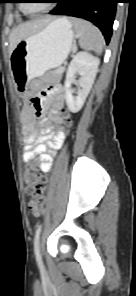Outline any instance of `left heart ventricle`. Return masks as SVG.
Listing matches in <instances>:
<instances>
[{
	"mask_svg": "<svg viewBox=\"0 0 136 296\" xmlns=\"http://www.w3.org/2000/svg\"><path fill=\"white\" fill-rule=\"evenodd\" d=\"M28 6L33 9V10H40L42 8H44L48 3L45 1H30V3H27Z\"/></svg>",
	"mask_w": 136,
	"mask_h": 296,
	"instance_id": "b2bd125f",
	"label": "left heart ventricle"
}]
</instances>
